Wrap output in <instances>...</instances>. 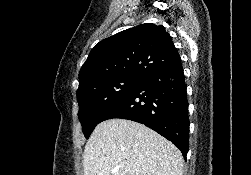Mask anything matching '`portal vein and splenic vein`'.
I'll return each mask as SVG.
<instances>
[{
  "label": "portal vein and splenic vein",
  "instance_id": "18ae733b",
  "mask_svg": "<svg viewBox=\"0 0 251 175\" xmlns=\"http://www.w3.org/2000/svg\"><path fill=\"white\" fill-rule=\"evenodd\" d=\"M116 171H118V169H111V173H116Z\"/></svg>",
  "mask_w": 251,
  "mask_h": 175
}]
</instances>
